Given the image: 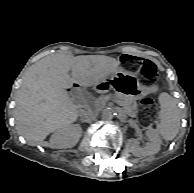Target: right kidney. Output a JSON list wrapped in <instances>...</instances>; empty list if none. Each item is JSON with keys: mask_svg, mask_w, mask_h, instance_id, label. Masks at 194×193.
Here are the masks:
<instances>
[{"mask_svg": "<svg viewBox=\"0 0 194 193\" xmlns=\"http://www.w3.org/2000/svg\"><path fill=\"white\" fill-rule=\"evenodd\" d=\"M82 129L79 125L68 124L57 131L50 137L51 148H71L76 145L81 137Z\"/></svg>", "mask_w": 194, "mask_h": 193, "instance_id": "1", "label": "right kidney"}]
</instances>
